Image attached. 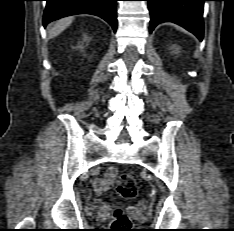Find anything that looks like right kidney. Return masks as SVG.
<instances>
[{"mask_svg":"<svg viewBox=\"0 0 234 231\" xmlns=\"http://www.w3.org/2000/svg\"><path fill=\"white\" fill-rule=\"evenodd\" d=\"M87 40V37L86 36H84V41H86Z\"/></svg>","mask_w":234,"mask_h":231,"instance_id":"1","label":"right kidney"}]
</instances>
